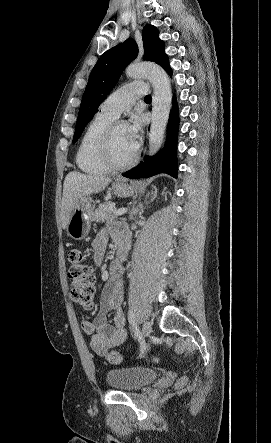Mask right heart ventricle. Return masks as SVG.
Returning a JSON list of instances; mask_svg holds the SVG:
<instances>
[{
  "label": "right heart ventricle",
  "instance_id": "right-heart-ventricle-1",
  "mask_svg": "<svg viewBox=\"0 0 271 443\" xmlns=\"http://www.w3.org/2000/svg\"><path fill=\"white\" fill-rule=\"evenodd\" d=\"M115 118L98 112L87 124L79 142L75 161L77 167L89 175H102L109 171V167L101 154V142L109 124Z\"/></svg>",
  "mask_w": 271,
  "mask_h": 443
}]
</instances>
